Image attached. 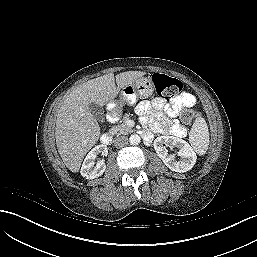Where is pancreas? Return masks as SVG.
<instances>
[{
	"label": "pancreas",
	"instance_id": "1",
	"mask_svg": "<svg viewBox=\"0 0 257 257\" xmlns=\"http://www.w3.org/2000/svg\"><path fill=\"white\" fill-rule=\"evenodd\" d=\"M132 132V128L127 126L125 122H122L120 125L114 126L110 129V133L116 135H128Z\"/></svg>",
	"mask_w": 257,
	"mask_h": 257
}]
</instances>
